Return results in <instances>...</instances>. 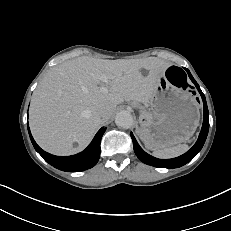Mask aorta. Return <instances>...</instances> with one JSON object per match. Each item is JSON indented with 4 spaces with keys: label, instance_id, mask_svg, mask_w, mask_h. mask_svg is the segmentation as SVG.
Wrapping results in <instances>:
<instances>
[{
    "label": "aorta",
    "instance_id": "obj_1",
    "mask_svg": "<svg viewBox=\"0 0 231 231\" xmlns=\"http://www.w3.org/2000/svg\"><path fill=\"white\" fill-rule=\"evenodd\" d=\"M115 123L121 128L128 129L133 125V117L130 113L121 111L116 115Z\"/></svg>",
    "mask_w": 231,
    "mask_h": 231
}]
</instances>
